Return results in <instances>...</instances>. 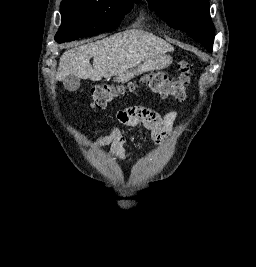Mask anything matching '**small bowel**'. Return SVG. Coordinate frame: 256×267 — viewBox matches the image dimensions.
Here are the masks:
<instances>
[{"mask_svg":"<svg viewBox=\"0 0 256 267\" xmlns=\"http://www.w3.org/2000/svg\"><path fill=\"white\" fill-rule=\"evenodd\" d=\"M119 122L130 127L145 128L151 132L152 139L156 144H164L172 133L174 122L177 118L175 111H169L163 115L158 112L135 105H127L124 109L119 110L114 115ZM102 126H97L93 133H98ZM127 141L122 135L120 128L116 124H112L110 133L97 139L93 146L98 149L105 145H110V157L122 162L125 159V147Z\"/></svg>","mask_w":256,"mask_h":267,"instance_id":"1","label":"small bowel"}]
</instances>
